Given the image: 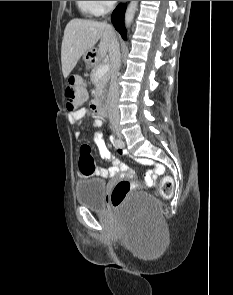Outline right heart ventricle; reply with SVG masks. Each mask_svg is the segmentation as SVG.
<instances>
[{"mask_svg":"<svg viewBox=\"0 0 233 295\" xmlns=\"http://www.w3.org/2000/svg\"><path fill=\"white\" fill-rule=\"evenodd\" d=\"M78 10L85 16L93 17L100 14L94 1H76Z\"/></svg>","mask_w":233,"mask_h":295,"instance_id":"e07e8e85","label":"right heart ventricle"}]
</instances>
